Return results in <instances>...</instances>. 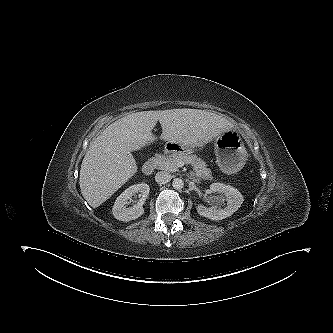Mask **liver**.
I'll list each match as a JSON object with an SVG mask.
<instances>
[{
  "instance_id": "6515ba94",
  "label": "liver",
  "mask_w": 333,
  "mask_h": 333,
  "mask_svg": "<svg viewBox=\"0 0 333 333\" xmlns=\"http://www.w3.org/2000/svg\"><path fill=\"white\" fill-rule=\"evenodd\" d=\"M161 124V139L180 147H200L232 130L224 118L197 109L143 111L109 125L90 145L80 170L83 197L93 208L111 197L136 172L132 155L155 141L152 129Z\"/></svg>"
}]
</instances>
